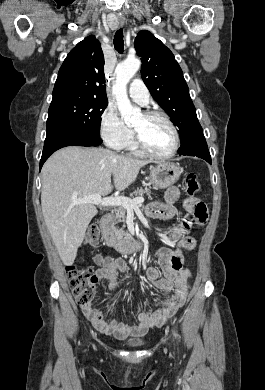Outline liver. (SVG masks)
<instances>
[{"label": "liver", "instance_id": "liver-1", "mask_svg": "<svg viewBox=\"0 0 265 390\" xmlns=\"http://www.w3.org/2000/svg\"><path fill=\"white\" fill-rule=\"evenodd\" d=\"M149 162L118 155L104 148L69 146L55 152L42 168L41 207L47 229L64 265L71 266L97 214L93 204H73L95 194L132 184ZM113 176V185L111 184Z\"/></svg>", "mask_w": 265, "mask_h": 390}]
</instances>
